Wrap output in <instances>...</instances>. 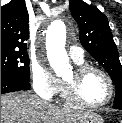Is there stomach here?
Here are the masks:
<instances>
[{
  "instance_id": "obj_1",
  "label": "stomach",
  "mask_w": 122,
  "mask_h": 123,
  "mask_svg": "<svg viewBox=\"0 0 122 123\" xmlns=\"http://www.w3.org/2000/svg\"><path fill=\"white\" fill-rule=\"evenodd\" d=\"M78 123H104V121L98 114L88 111L85 118Z\"/></svg>"
}]
</instances>
